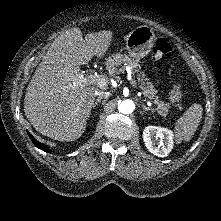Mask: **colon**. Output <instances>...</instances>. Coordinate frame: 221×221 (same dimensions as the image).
I'll list each match as a JSON object with an SVG mask.
<instances>
[{
  "instance_id": "1",
  "label": "colon",
  "mask_w": 221,
  "mask_h": 221,
  "mask_svg": "<svg viewBox=\"0 0 221 221\" xmlns=\"http://www.w3.org/2000/svg\"><path fill=\"white\" fill-rule=\"evenodd\" d=\"M153 58L158 62H166L172 56V47L167 39L163 37L156 38L152 48ZM169 97L176 105H180L183 100V92L177 83L173 84L169 91Z\"/></svg>"
}]
</instances>
